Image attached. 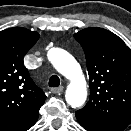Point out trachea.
I'll list each match as a JSON object with an SVG mask.
<instances>
[{
  "label": "trachea",
  "mask_w": 131,
  "mask_h": 131,
  "mask_svg": "<svg viewBox=\"0 0 131 131\" xmlns=\"http://www.w3.org/2000/svg\"><path fill=\"white\" fill-rule=\"evenodd\" d=\"M60 85V79L58 76L53 75L49 79V87H58Z\"/></svg>",
  "instance_id": "1"
}]
</instances>
